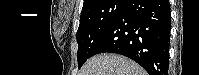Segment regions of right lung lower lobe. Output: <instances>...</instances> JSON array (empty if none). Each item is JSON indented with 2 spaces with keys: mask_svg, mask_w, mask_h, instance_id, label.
I'll return each instance as SVG.
<instances>
[{
  "mask_svg": "<svg viewBox=\"0 0 199 75\" xmlns=\"http://www.w3.org/2000/svg\"><path fill=\"white\" fill-rule=\"evenodd\" d=\"M170 21L168 0H127L93 56L121 54L136 61L149 75H168Z\"/></svg>",
  "mask_w": 199,
  "mask_h": 75,
  "instance_id": "1",
  "label": "right lung lower lobe"
}]
</instances>
